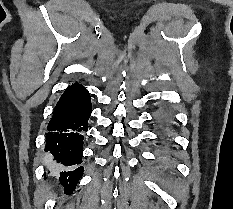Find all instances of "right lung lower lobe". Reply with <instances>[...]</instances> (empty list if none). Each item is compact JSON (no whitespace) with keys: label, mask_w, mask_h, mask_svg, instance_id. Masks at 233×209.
I'll list each match as a JSON object with an SVG mask.
<instances>
[{"label":"right lung lower lobe","mask_w":233,"mask_h":209,"mask_svg":"<svg viewBox=\"0 0 233 209\" xmlns=\"http://www.w3.org/2000/svg\"><path fill=\"white\" fill-rule=\"evenodd\" d=\"M92 112L90 95L79 84L66 89L59 99L47 126L45 151H49L58 163L68 166L61 172L60 182L71 193L83 174V133L88 130Z\"/></svg>","instance_id":"obj_1"}]
</instances>
